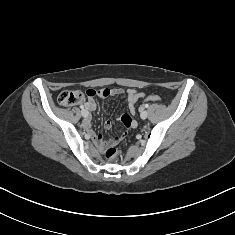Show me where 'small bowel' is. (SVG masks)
<instances>
[{
	"mask_svg": "<svg viewBox=\"0 0 235 235\" xmlns=\"http://www.w3.org/2000/svg\"><path fill=\"white\" fill-rule=\"evenodd\" d=\"M122 90L121 89H117V88H113V89H107V93L104 95H100L101 97H106L108 95H117V94H121ZM143 97V94L134 90V89H129L126 91V99H127V103H128V108L131 114L135 113V105L137 103V101ZM84 106L87 110H89L90 112L94 111L96 108V102L94 101L93 97H89V99L84 103ZM112 126V123L110 120H107L105 122V128L106 129H110ZM83 127L84 129L87 131V133H89L93 140L102 145L105 143V141L103 140V137L101 135L95 136L91 130V122L89 119H86L83 121Z\"/></svg>",
	"mask_w": 235,
	"mask_h": 235,
	"instance_id": "1",
	"label": "small bowel"
}]
</instances>
